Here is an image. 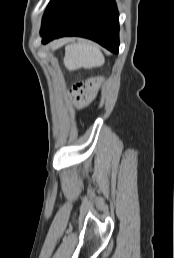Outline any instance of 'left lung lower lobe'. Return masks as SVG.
<instances>
[{
  "instance_id": "1",
  "label": "left lung lower lobe",
  "mask_w": 174,
  "mask_h": 258,
  "mask_svg": "<svg viewBox=\"0 0 174 258\" xmlns=\"http://www.w3.org/2000/svg\"><path fill=\"white\" fill-rule=\"evenodd\" d=\"M42 42L62 36L92 39L113 53L119 49V14L114 0H58L42 21Z\"/></svg>"
}]
</instances>
